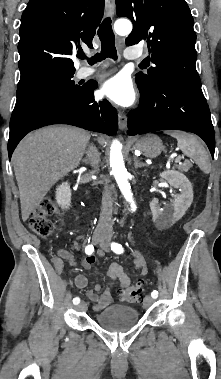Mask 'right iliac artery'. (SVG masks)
Here are the masks:
<instances>
[{"instance_id": "obj_1", "label": "right iliac artery", "mask_w": 221, "mask_h": 379, "mask_svg": "<svg viewBox=\"0 0 221 379\" xmlns=\"http://www.w3.org/2000/svg\"><path fill=\"white\" fill-rule=\"evenodd\" d=\"M94 252V247L92 244H89L85 247V253L88 254V255H91L92 253ZM73 303L75 305L79 304L80 303V298L79 297H75L73 298Z\"/></svg>"}]
</instances>
